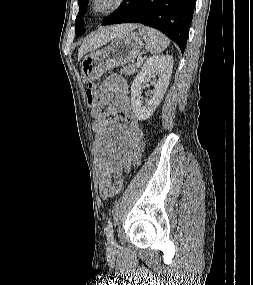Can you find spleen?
I'll list each match as a JSON object with an SVG mask.
<instances>
[{"label": "spleen", "mask_w": 253, "mask_h": 285, "mask_svg": "<svg viewBox=\"0 0 253 285\" xmlns=\"http://www.w3.org/2000/svg\"><path fill=\"white\" fill-rule=\"evenodd\" d=\"M139 34L146 42V50L153 54L161 53L169 45V39L156 29L141 26Z\"/></svg>", "instance_id": "3e777b00"}]
</instances>
